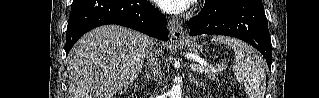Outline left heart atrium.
Returning a JSON list of instances; mask_svg holds the SVG:
<instances>
[{
	"instance_id": "39dd6f15",
	"label": "left heart atrium",
	"mask_w": 319,
	"mask_h": 98,
	"mask_svg": "<svg viewBox=\"0 0 319 98\" xmlns=\"http://www.w3.org/2000/svg\"><path fill=\"white\" fill-rule=\"evenodd\" d=\"M155 2L165 12L178 14L187 10L193 0H155Z\"/></svg>"
}]
</instances>
